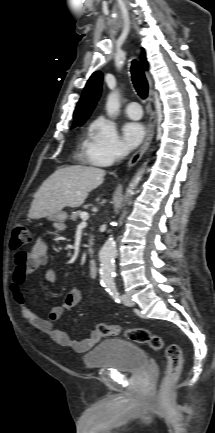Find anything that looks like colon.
Returning <instances> with one entry per match:
<instances>
[{
    "label": "colon",
    "mask_w": 215,
    "mask_h": 433,
    "mask_svg": "<svg viewBox=\"0 0 215 433\" xmlns=\"http://www.w3.org/2000/svg\"><path fill=\"white\" fill-rule=\"evenodd\" d=\"M31 242V233L28 227L22 223H16L12 231L11 247L19 249ZM96 331L102 337L117 336L123 334L127 339L138 344H147L153 349L164 350L167 367L162 382L165 390L170 383L179 375L182 369L181 349L177 344L164 345L162 339L145 328H124L119 325L98 323Z\"/></svg>",
    "instance_id": "colon-1"
}]
</instances>
